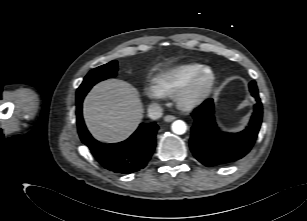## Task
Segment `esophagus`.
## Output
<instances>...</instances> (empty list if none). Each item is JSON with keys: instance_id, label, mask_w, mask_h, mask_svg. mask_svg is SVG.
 <instances>
[{"instance_id": "obj_1", "label": "esophagus", "mask_w": 307, "mask_h": 221, "mask_svg": "<svg viewBox=\"0 0 307 221\" xmlns=\"http://www.w3.org/2000/svg\"><path fill=\"white\" fill-rule=\"evenodd\" d=\"M175 119H176V117L173 116V115H167V116L164 117L165 122H172Z\"/></svg>"}]
</instances>
